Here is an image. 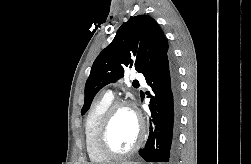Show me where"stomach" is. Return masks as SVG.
I'll return each instance as SVG.
<instances>
[{
    "instance_id": "1",
    "label": "stomach",
    "mask_w": 251,
    "mask_h": 164,
    "mask_svg": "<svg viewBox=\"0 0 251 164\" xmlns=\"http://www.w3.org/2000/svg\"><path fill=\"white\" fill-rule=\"evenodd\" d=\"M121 164H140L138 162H122Z\"/></svg>"
}]
</instances>
